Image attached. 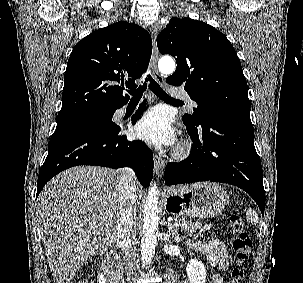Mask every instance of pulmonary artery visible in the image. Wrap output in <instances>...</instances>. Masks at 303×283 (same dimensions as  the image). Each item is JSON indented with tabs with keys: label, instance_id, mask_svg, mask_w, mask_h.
<instances>
[{
	"label": "pulmonary artery",
	"instance_id": "1",
	"mask_svg": "<svg viewBox=\"0 0 303 283\" xmlns=\"http://www.w3.org/2000/svg\"><path fill=\"white\" fill-rule=\"evenodd\" d=\"M169 94L173 98L185 99L188 105L192 108L197 107V103L195 102V100L191 99L188 93L183 88L171 87L169 89ZM124 112L125 110H121V114H124Z\"/></svg>",
	"mask_w": 303,
	"mask_h": 283
}]
</instances>
